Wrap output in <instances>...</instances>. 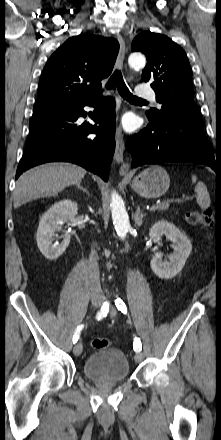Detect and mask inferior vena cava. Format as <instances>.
Returning a JSON list of instances; mask_svg holds the SVG:
<instances>
[{
  "instance_id": "602c4592",
  "label": "inferior vena cava",
  "mask_w": 221,
  "mask_h": 440,
  "mask_svg": "<svg viewBox=\"0 0 221 440\" xmlns=\"http://www.w3.org/2000/svg\"><path fill=\"white\" fill-rule=\"evenodd\" d=\"M98 256L95 250L91 251L89 261V282L93 295H99L100 274L98 268Z\"/></svg>"
}]
</instances>
